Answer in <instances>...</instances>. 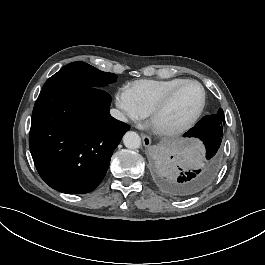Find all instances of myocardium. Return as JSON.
<instances>
[{
  "label": "myocardium",
  "instance_id": "obj_1",
  "mask_svg": "<svg viewBox=\"0 0 265 265\" xmlns=\"http://www.w3.org/2000/svg\"><path fill=\"white\" fill-rule=\"evenodd\" d=\"M188 83H196L200 86L202 91V100L198 107V109L185 121H183L181 124L174 126V127H162L158 124V119L160 115L173 103L176 96L182 89V87L185 84ZM207 91L204 86V84L193 78H188L182 80L180 83H178L168 94L165 98H163L150 112V119H149V126L152 129V131L161 137H174L177 135H180L184 132H186L188 129H190L197 120L201 117L203 114L206 105H207Z\"/></svg>",
  "mask_w": 265,
  "mask_h": 265
}]
</instances>
